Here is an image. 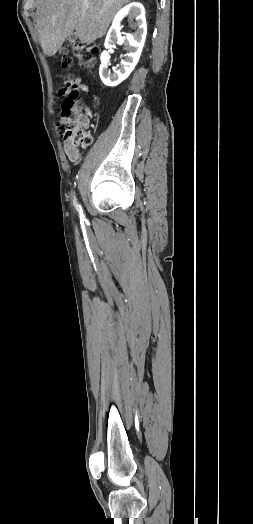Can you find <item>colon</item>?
I'll use <instances>...</instances> for the list:
<instances>
[{
    "instance_id": "1",
    "label": "colon",
    "mask_w": 253,
    "mask_h": 524,
    "mask_svg": "<svg viewBox=\"0 0 253 524\" xmlns=\"http://www.w3.org/2000/svg\"><path fill=\"white\" fill-rule=\"evenodd\" d=\"M99 55L100 48L96 43L76 42L62 50L60 64L62 68L69 69L75 57L84 71H90ZM90 87V80H82L81 76L74 75L60 89L65 98L56 129L57 133L73 148L90 146L93 141L91 133L86 129L81 113L83 107L79 102V94L90 93Z\"/></svg>"
}]
</instances>
